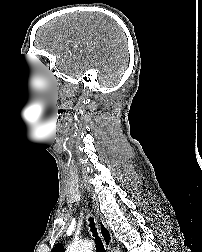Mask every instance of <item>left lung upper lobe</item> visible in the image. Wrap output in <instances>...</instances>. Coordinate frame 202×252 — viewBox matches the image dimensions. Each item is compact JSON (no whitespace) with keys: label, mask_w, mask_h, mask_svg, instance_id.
Listing matches in <instances>:
<instances>
[{"label":"left lung upper lobe","mask_w":202,"mask_h":252,"mask_svg":"<svg viewBox=\"0 0 202 252\" xmlns=\"http://www.w3.org/2000/svg\"><path fill=\"white\" fill-rule=\"evenodd\" d=\"M51 252H64L63 246L57 245L51 250Z\"/></svg>","instance_id":"1"}]
</instances>
